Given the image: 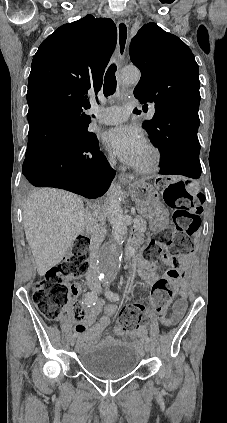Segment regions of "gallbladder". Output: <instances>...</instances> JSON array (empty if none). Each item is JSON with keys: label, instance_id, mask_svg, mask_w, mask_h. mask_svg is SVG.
Instances as JSON below:
<instances>
[{"label": "gallbladder", "instance_id": "bac80fb5", "mask_svg": "<svg viewBox=\"0 0 227 423\" xmlns=\"http://www.w3.org/2000/svg\"><path fill=\"white\" fill-rule=\"evenodd\" d=\"M27 188H30L29 184H27Z\"/></svg>", "mask_w": 227, "mask_h": 423}]
</instances>
